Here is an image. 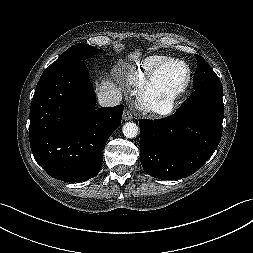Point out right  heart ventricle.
I'll use <instances>...</instances> for the list:
<instances>
[{"label": "right heart ventricle", "instance_id": "1", "mask_svg": "<svg viewBox=\"0 0 253 253\" xmlns=\"http://www.w3.org/2000/svg\"><path fill=\"white\" fill-rule=\"evenodd\" d=\"M167 59L169 58L161 55L148 56L131 66L124 76L131 86L140 88L147 76Z\"/></svg>", "mask_w": 253, "mask_h": 253}]
</instances>
